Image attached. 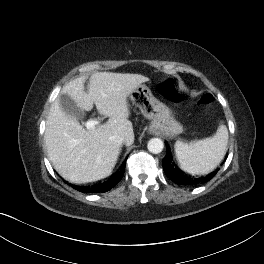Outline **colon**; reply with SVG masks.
Returning a JSON list of instances; mask_svg holds the SVG:
<instances>
[{
	"label": "colon",
	"instance_id": "colon-1",
	"mask_svg": "<svg viewBox=\"0 0 264 264\" xmlns=\"http://www.w3.org/2000/svg\"><path fill=\"white\" fill-rule=\"evenodd\" d=\"M161 92L165 97H167L171 100H174V101H180L181 100L180 94H179L177 87H176V84L173 80H168V81L164 82L161 85ZM212 101H213V96L210 93H205L199 98L197 104L199 106H207V105L211 104Z\"/></svg>",
	"mask_w": 264,
	"mask_h": 264
}]
</instances>
